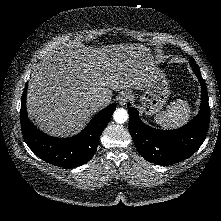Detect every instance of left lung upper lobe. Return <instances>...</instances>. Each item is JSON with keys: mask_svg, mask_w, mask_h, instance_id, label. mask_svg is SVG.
Returning <instances> with one entry per match:
<instances>
[{"mask_svg": "<svg viewBox=\"0 0 221 221\" xmlns=\"http://www.w3.org/2000/svg\"><path fill=\"white\" fill-rule=\"evenodd\" d=\"M189 62H190V65H191L193 71H200L198 65L196 64V62L194 61L193 58H190Z\"/></svg>", "mask_w": 221, "mask_h": 221, "instance_id": "5c2ea615", "label": "left lung upper lobe"}]
</instances>
